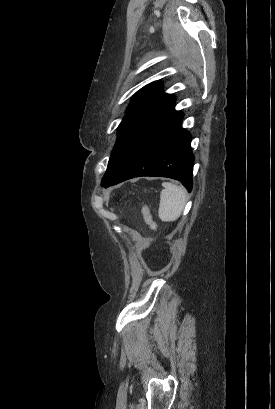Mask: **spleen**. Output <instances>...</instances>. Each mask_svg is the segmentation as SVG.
Listing matches in <instances>:
<instances>
[{"instance_id": "obj_1", "label": "spleen", "mask_w": 275, "mask_h": 409, "mask_svg": "<svg viewBox=\"0 0 275 409\" xmlns=\"http://www.w3.org/2000/svg\"><path fill=\"white\" fill-rule=\"evenodd\" d=\"M164 186L160 194V205L158 209L161 221H176L180 217L186 202V190L184 186L162 182Z\"/></svg>"}]
</instances>
